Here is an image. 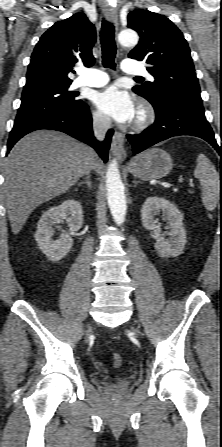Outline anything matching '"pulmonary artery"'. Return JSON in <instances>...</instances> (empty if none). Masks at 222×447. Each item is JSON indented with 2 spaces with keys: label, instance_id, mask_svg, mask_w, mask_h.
Instances as JSON below:
<instances>
[{
  "label": "pulmonary artery",
  "instance_id": "1",
  "mask_svg": "<svg viewBox=\"0 0 222 447\" xmlns=\"http://www.w3.org/2000/svg\"><path fill=\"white\" fill-rule=\"evenodd\" d=\"M122 70L127 75H148L143 63L133 59L123 62ZM79 77L73 82L74 88L79 87H102L109 82L108 75L99 69H79Z\"/></svg>",
  "mask_w": 222,
  "mask_h": 447
}]
</instances>
